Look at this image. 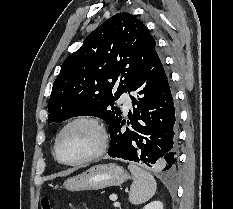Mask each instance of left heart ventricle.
Masks as SVG:
<instances>
[{"instance_id":"obj_1","label":"left heart ventricle","mask_w":233,"mask_h":209,"mask_svg":"<svg viewBox=\"0 0 233 209\" xmlns=\"http://www.w3.org/2000/svg\"><path fill=\"white\" fill-rule=\"evenodd\" d=\"M98 133L87 123L69 127L59 142V156L65 161H75L92 153L98 146Z\"/></svg>"}]
</instances>
